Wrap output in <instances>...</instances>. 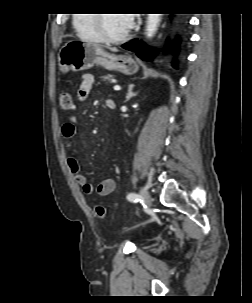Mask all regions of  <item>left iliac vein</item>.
<instances>
[{
	"label": "left iliac vein",
	"instance_id": "left-iliac-vein-1",
	"mask_svg": "<svg viewBox=\"0 0 252 303\" xmlns=\"http://www.w3.org/2000/svg\"><path fill=\"white\" fill-rule=\"evenodd\" d=\"M141 201L146 204L149 208L152 206V199L147 189L140 190Z\"/></svg>",
	"mask_w": 252,
	"mask_h": 303
}]
</instances>
